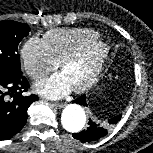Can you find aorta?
Wrapping results in <instances>:
<instances>
[{
  "instance_id": "1",
  "label": "aorta",
  "mask_w": 153,
  "mask_h": 153,
  "mask_svg": "<svg viewBox=\"0 0 153 153\" xmlns=\"http://www.w3.org/2000/svg\"><path fill=\"white\" fill-rule=\"evenodd\" d=\"M86 119V114L81 106L70 104L62 112L61 123L68 132L77 133L84 128Z\"/></svg>"
}]
</instances>
